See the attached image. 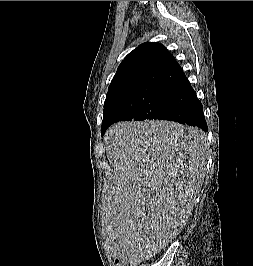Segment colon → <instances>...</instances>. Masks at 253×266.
<instances>
[{"instance_id":"obj_1","label":"colon","mask_w":253,"mask_h":266,"mask_svg":"<svg viewBox=\"0 0 253 266\" xmlns=\"http://www.w3.org/2000/svg\"><path fill=\"white\" fill-rule=\"evenodd\" d=\"M116 263H117V265H118V266H120V265H122V264H125V263H126V259H123V258H122V259H120V260L118 259V260H116Z\"/></svg>"}]
</instances>
